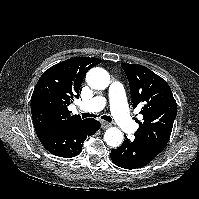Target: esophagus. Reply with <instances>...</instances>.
<instances>
[{
  "instance_id": "34e87169",
  "label": "esophagus",
  "mask_w": 199,
  "mask_h": 199,
  "mask_svg": "<svg viewBox=\"0 0 199 199\" xmlns=\"http://www.w3.org/2000/svg\"><path fill=\"white\" fill-rule=\"evenodd\" d=\"M110 126H111V124L108 123V122H106V121H102V122H101V127H102L103 129H107V128H109Z\"/></svg>"
}]
</instances>
